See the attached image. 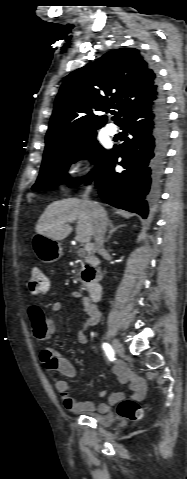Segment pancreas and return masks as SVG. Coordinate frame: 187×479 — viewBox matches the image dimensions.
<instances>
[{
  "label": "pancreas",
  "mask_w": 187,
  "mask_h": 479,
  "mask_svg": "<svg viewBox=\"0 0 187 479\" xmlns=\"http://www.w3.org/2000/svg\"><path fill=\"white\" fill-rule=\"evenodd\" d=\"M82 268H83V265H82ZM82 268L77 271L76 273V281H79L82 283V287H87L88 286V283L85 282L82 278H81V271H82Z\"/></svg>",
  "instance_id": "obj_1"
}]
</instances>
